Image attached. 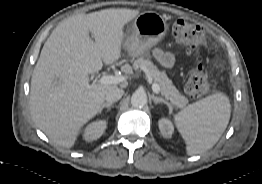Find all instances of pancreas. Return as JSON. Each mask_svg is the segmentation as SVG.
Returning a JSON list of instances; mask_svg holds the SVG:
<instances>
[{"label": "pancreas", "mask_w": 262, "mask_h": 184, "mask_svg": "<svg viewBox=\"0 0 262 184\" xmlns=\"http://www.w3.org/2000/svg\"><path fill=\"white\" fill-rule=\"evenodd\" d=\"M133 67L135 70L141 69L146 71L154 83L159 85L161 94L165 96L173 106L183 108L187 105L188 99L179 93L165 72H160L149 59L140 57L134 61ZM123 70L128 72V69L125 67Z\"/></svg>", "instance_id": "1"}]
</instances>
